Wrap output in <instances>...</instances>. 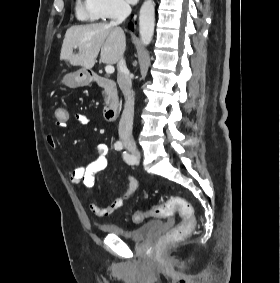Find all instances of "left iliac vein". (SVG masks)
Here are the masks:
<instances>
[{
  "instance_id": "obj_1",
  "label": "left iliac vein",
  "mask_w": 280,
  "mask_h": 283,
  "mask_svg": "<svg viewBox=\"0 0 280 283\" xmlns=\"http://www.w3.org/2000/svg\"><path fill=\"white\" fill-rule=\"evenodd\" d=\"M131 156L133 158L132 163H138L140 159V152L137 149L131 150Z\"/></svg>"
}]
</instances>
